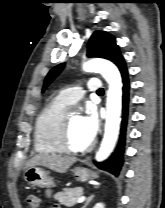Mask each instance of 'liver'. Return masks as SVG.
Instances as JSON below:
<instances>
[{"label":"liver","mask_w":165,"mask_h":208,"mask_svg":"<svg viewBox=\"0 0 165 208\" xmlns=\"http://www.w3.org/2000/svg\"><path fill=\"white\" fill-rule=\"evenodd\" d=\"M76 162V158L62 157L58 155L39 154L35 155L27 163V168L33 166H44L58 173H65L69 167Z\"/></svg>","instance_id":"1"}]
</instances>
